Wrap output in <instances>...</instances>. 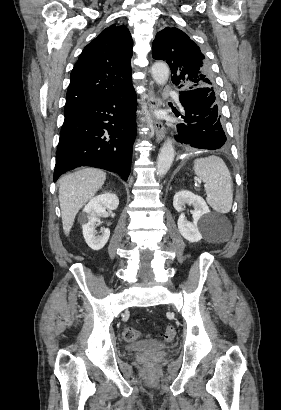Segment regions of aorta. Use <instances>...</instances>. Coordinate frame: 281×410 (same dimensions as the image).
<instances>
[{
  "label": "aorta",
  "mask_w": 281,
  "mask_h": 410,
  "mask_svg": "<svg viewBox=\"0 0 281 410\" xmlns=\"http://www.w3.org/2000/svg\"><path fill=\"white\" fill-rule=\"evenodd\" d=\"M153 79L158 85H164L169 78V67L166 63L156 62L151 68ZM175 156L173 141L167 139L160 149L157 158V175L162 177L170 169Z\"/></svg>",
  "instance_id": "obj_1"
}]
</instances>
